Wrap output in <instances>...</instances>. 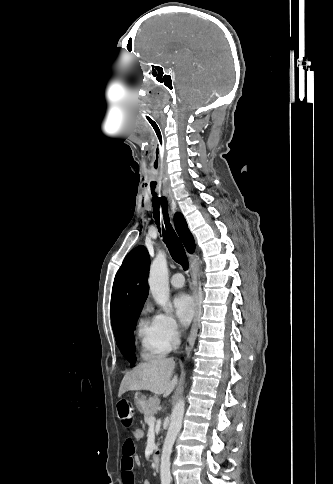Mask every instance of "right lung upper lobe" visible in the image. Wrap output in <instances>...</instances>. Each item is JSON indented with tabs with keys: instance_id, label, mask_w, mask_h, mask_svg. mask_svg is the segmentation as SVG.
<instances>
[{
	"instance_id": "1",
	"label": "right lung upper lobe",
	"mask_w": 333,
	"mask_h": 484,
	"mask_svg": "<svg viewBox=\"0 0 333 484\" xmlns=\"http://www.w3.org/2000/svg\"><path fill=\"white\" fill-rule=\"evenodd\" d=\"M174 223L185 247L193 252L195 248L193 236L181 213L175 214ZM149 265L148 251L141 245L128 253L118 270L111 297V321L114 333L131 313L141 311L149 291L147 282Z\"/></svg>"
}]
</instances>
